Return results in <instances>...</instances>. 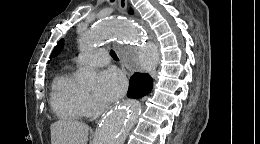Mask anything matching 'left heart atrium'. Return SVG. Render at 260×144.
Segmentation results:
<instances>
[{"mask_svg": "<svg viewBox=\"0 0 260 144\" xmlns=\"http://www.w3.org/2000/svg\"><path fill=\"white\" fill-rule=\"evenodd\" d=\"M126 89L124 75L115 68L99 74L95 98L101 104H109L123 95Z\"/></svg>", "mask_w": 260, "mask_h": 144, "instance_id": "left-heart-atrium-1", "label": "left heart atrium"}]
</instances>
